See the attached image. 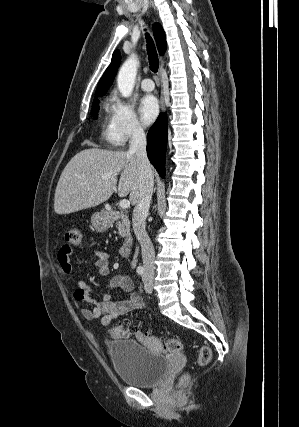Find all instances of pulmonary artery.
Returning <instances> with one entry per match:
<instances>
[{"label": "pulmonary artery", "instance_id": "pulmonary-artery-1", "mask_svg": "<svg viewBox=\"0 0 299 427\" xmlns=\"http://www.w3.org/2000/svg\"><path fill=\"white\" fill-rule=\"evenodd\" d=\"M140 87L143 91L150 92L154 89V83L150 78L146 77L141 81Z\"/></svg>", "mask_w": 299, "mask_h": 427}]
</instances>
